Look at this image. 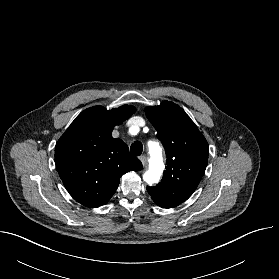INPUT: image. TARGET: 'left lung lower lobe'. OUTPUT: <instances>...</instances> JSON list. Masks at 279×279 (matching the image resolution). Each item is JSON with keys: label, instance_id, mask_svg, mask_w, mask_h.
<instances>
[{"label": "left lung lower lobe", "instance_id": "1", "mask_svg": "<svg viewBox=\"0 0 279 279\" xmlns=\"http://www.w3.org/2000/svg\"><path fill=\"white\" fill-rule=\"evenodd\" d=\"M155 203L162 208H172L177 206L175 204H167V203H160V202H155Z\"/></svg>", "mask_w": 279, "mask_h": 279}]
</instances>
